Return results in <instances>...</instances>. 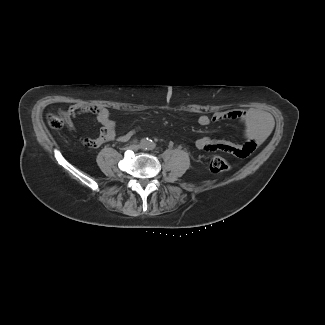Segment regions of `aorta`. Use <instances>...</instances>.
I'll return each instance as SVG.
<instances>
[{
  "label": "aorta",
  "instance_id": "aorta-1",
  "mask_svg": "<svg viewBox=\"0 0 325 325\" xmlns=\"http://www.w3.org/2000/svg\"><path fill=\"white\" fill-rule=\"evenodd\" d=\"M152 145H153V142L151 141V140H144L143 141V147L144 148H150V147H152Z\"/></svg>",
  "mask_w": 325,
  "mask_h": 325
}]
</instances>
